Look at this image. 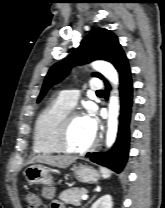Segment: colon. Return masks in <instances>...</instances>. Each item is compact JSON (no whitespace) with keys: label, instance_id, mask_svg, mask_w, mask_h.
<instances>
[{"label":"colon","instance_id":"obj_1","mask_svg":"<svg viewBox=\"0 0 165 208\" xmlns=\"http://www.w3.org/2000/svg\"><path fill=\"white\" fill-rule=\"evenodd\" d=\"M26 201L29 208H38L40 205V198L34 193H29L26 196Z\"/></svg>","mask_w":165,"mask_h":208}]
</instances>
